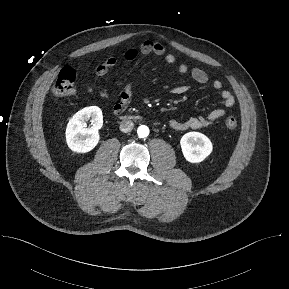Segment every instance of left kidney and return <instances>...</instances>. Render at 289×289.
<instances>
[{
	"mask_svg": "<svg viewBox=\"0 0 289 289\" xmlns=\"http://www.w3.org/2000/svg\"><path fill=\"white\" fill-rule=\"evenodd\" d=\"M180 145L185 159L191 163L202 162L213 150L210 139L199 132L184 134L180 140Z\"/></svg>",
	"mask_w": 289,
	"mask_h": 289,
	"instance_id": "obj_1",
	"label": "left kidney"
}]
</instances>
